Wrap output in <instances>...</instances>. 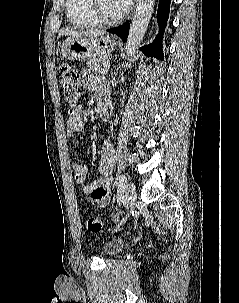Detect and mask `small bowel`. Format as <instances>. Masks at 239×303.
Here are the masks:
<instances>
[{"label":"small bowel","instance_id":"small-bowel-1","mask_svg":"<svg viewBox=\"0 0 239 303\" xmlns=\"http://www.w3.org/2000/svg\"><path fill=\"white\" fill-rule=\"evenodd\" d=\"M84 86L96 93L100 105H106L109 99V89L103 78L94 76L90 71L82 72ZM84 130V120L81 108L69 110L66 121V133L68 136L80 134ZM115 162V150L110 138H107L101 150L99 161V172L101 177L96 181L85 184L88 176L86 165L75 163L72 169L75 173V181L82 185L84 198L96 206H105L111 198V187L113 183L112 171Z\"/></svg>","mask_w":239,"mask_h":303}]
</instances>
